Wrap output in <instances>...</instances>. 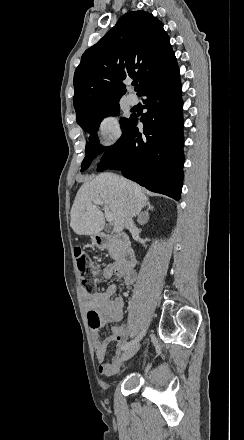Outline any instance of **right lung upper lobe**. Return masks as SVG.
<instances>
[{
    "instance_id": "1",
    "label": "right lung upper lobe",
    "mask_w": 244,
    "mask_h": 440,
    "mask_svg": "<svg viewBox=\"0 0 244 440\" xmlns=\"http://www.w3.org/2000/svg\"><path fill=\"white\" fill-rule=\"evenodd\" d=\"M176 62L162 23L143 10L124 14L116 25L82 55L74 74L75 110L120 99L122 81L138 78L143 83L155 72Z\"/></svg>"
}]
</instances>
